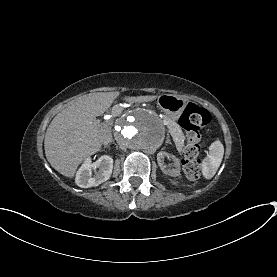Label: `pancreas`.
Listing matches in <instances>:
<instances>
[{
	"instance_id": "pancreas-1",
	"label": "pancreas",
	"mask_w": 277,
	"mask_h": 277,
	"mask_svg": "<svg viewBox=\"0 0 277 277\" xmlns=\"http://www.w3.org/2000/svg\"><path fill=\"white\" fill-rule=\"evenodd\" d=\"M166 128L167 131L170 132V135L173 136V145L179 149L183 148L185 143L181 136L183 132L182 126L171 122L167 124Z\"/></svg>"
}]
</instances>
